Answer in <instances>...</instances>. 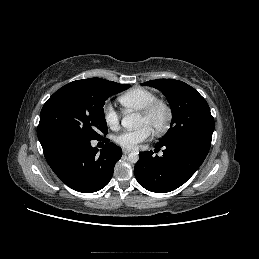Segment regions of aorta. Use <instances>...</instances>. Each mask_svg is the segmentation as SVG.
<instances>
[{"label":"aorta","mask_w":259,"mask_h":259,"mask_svg":"<svg viewBox=\"0 0 259 259\" xmlns=\"http://www.w3.org/2000/svg\"><path fill=\"white\" fill-rule=\"evenodd\" d=\"M140 123H141V118L136 113H130V114L125 115L121 121L122 126L125 129L130 130V131L134 130V129H138L140 127ZM128 160L131 163H136L139 160L138 153L137 152L129 153Z\"/></svg>","instance_id":"1"}]
</instances>
